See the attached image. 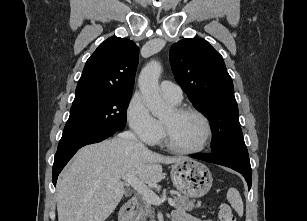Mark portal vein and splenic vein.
<instances>
[{
  "label": "portal vein and splenic vein",
  "mask_w": 307,
  "mask_h": 221,
  "mask_svg": "<svg viewBox=\"0 0 307 221\" xmlns=\"http://www.w3.org/2000/svg\"><path fill=\"white\" fill-rule=\"evenodd\" d=\"M128 184H130L141 196L144 200L149 202L150 204L160 205L167 200L166 197L159 198L148 186H146L143 182H141L135 175H126L122 177ZM168 203L170 206H175L176 203L173 199L168 198Z\"/></svg>",
  "instance_id": "18ae733b"
}]
</instances>
